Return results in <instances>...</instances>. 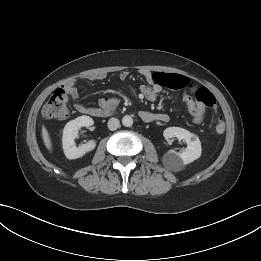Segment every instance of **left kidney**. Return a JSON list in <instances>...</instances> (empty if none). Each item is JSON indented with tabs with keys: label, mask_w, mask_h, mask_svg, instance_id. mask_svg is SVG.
I'll use <instances>...</instances> for the list:
<instances>
[{
	"label": "left kidney",
	"mask_w": 261,
	"mask_h": 261,
	"mask_svg": "<svg viewBox=\"0 0 261 261\" xmlns=\"http://www.w3.org/2000/svg\"><path fill=\"white\" fill-rule=\"evenodd\" d=\"M163 136L166 140L178 138L186 142L187 147L177 153L174 150L168 151L164 157V163L170 168H180L182 165L189 164L201 156V143L197 135L190 133L180 127H168L164 130Z\"/></svg>",
	"instance_id": "1"
}]
</instances>
